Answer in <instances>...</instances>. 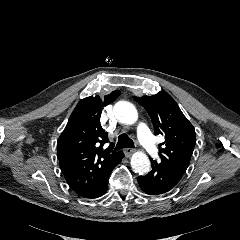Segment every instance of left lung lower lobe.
Listing matches in <instances>:
<instances>
[{
	"label": "left lung lower lobe",
	"instance_id": "0a47b994",
	"mask_svg": "<svg viewBox=\"0 0 240 240\" xmlns=\"http://www.w3.org/2000/svg\"><path fill=\"white\" fill-rule=\"evenodd\" d=\"M141 189L149 195H160L171 191L180 182V178L160 164L152 161V170L137 178Z\"/></svg>",
	"mask_w": 240,
	"mask_h": 240
}]
</instances>
